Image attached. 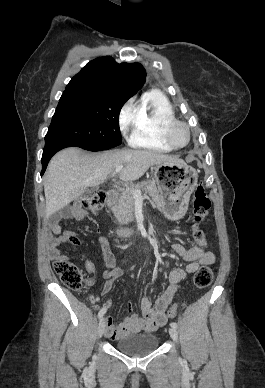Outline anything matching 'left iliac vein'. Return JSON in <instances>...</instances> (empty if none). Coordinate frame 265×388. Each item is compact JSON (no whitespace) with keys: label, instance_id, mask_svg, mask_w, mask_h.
<instances>
[{"label":"left iliac vein","instance_id":"1","mask_svg":"<svg viewBox=\"0 0 265 388\" xmlns=\"http://www.w3.org/2000/svg\"><path fill=\"white\" fill-rule=\"evenodd\" d=\"M169 335L170 337L174 340V341H177L178 339V333H177V330L173 327H170L169 328Z\"/></svg>","mask_w":265,"mask_h":388}]
</instances>
